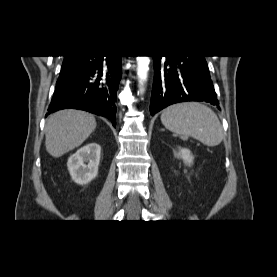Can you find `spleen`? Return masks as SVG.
Returning <instances> with one entry per match:
<instances>
[{"label": "spleen", "instance_id": "obj_1", "mask_svg": "<svg viewBox=\"0 0 277 277\" xmlns=\"http://www.w3.org/2000/svg\"><path fill=\"white\" fill-rule=\"evenodd\" d=\"M162 124L183 139L189 136L207 146H216L223 140V129L217 115L200 103H179L161 114Z\"/></svg>", "mask_w": 277, "mask_h": 277}]
</instances>
